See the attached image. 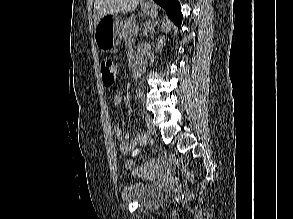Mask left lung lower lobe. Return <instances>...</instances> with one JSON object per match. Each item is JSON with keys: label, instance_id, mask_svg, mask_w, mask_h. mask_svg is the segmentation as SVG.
<instances>
[{"label": "left lung lower lobe", "instance_id": "left-lung-lower-lobe-1", "mask_svg": "<svg viewBox=\"0 0 293 219\" xmlns=\"http://www.w3.org/2000/svg\"><path fill=\"white\" fill-rule=\"evenodd\" d=\"M157 4L163 7L168 15V17L177 26H181L182 14L181 7L177 0H154Z\"/></svg>", "mask_w": 293, "mask_h": 219}]
</instances>
